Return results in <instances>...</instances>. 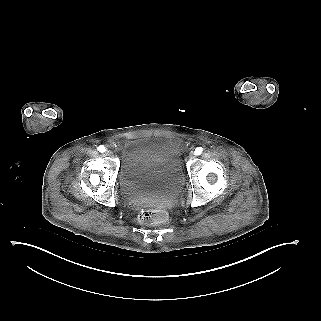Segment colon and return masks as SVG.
Returning a JSON list of instances; mask_svg holds the SVG:
<instances>
[{
  "label": "colon",
  "instance_id": "1",
  "mask_svg": "<svg viewBox=\"0 0 321 321\" xmlns=\"http://www.w3.org/2000/svg\"><path fill=\"white\" fill-rule=\"evenodd\" d=\"M167 212L161 208L143 210L139 215V220L148 225L162 224L167 220Z\"/></svg>",
  "mask_w": 321,
  "mask_h": 321
}]
</instances>
